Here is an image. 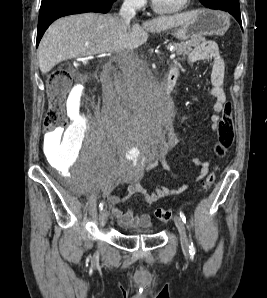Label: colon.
Here are the masks:
<instances>
[{
	"instance_id": "obj_1",
	"label": "colon",
	"mask_w": 267,
	"mask_h": 298,
	"mask_svg": "<svg viewBox=\"0 0 267 298\" xmlns=\"http://www.w3.org/2000/svg\"><path fill=\"white\" fill-rule=\"evenodd\" d=\"M71 74L67 69H59L52 72L47 80L49 95V108L45 116V128L48 132L53 133L59 128L68 124L65 113V98L70 88ZM234 141L233 116L230 107L224 111L221 116L217 130L216 152L222 157L226 154ZM216 175L214 172L208 174L204 179L202 187L204 190L209 189ZM156 217L168 222L172 219V212L164 208H158L155 211Z\"/></svg>"
}]
</instances>
